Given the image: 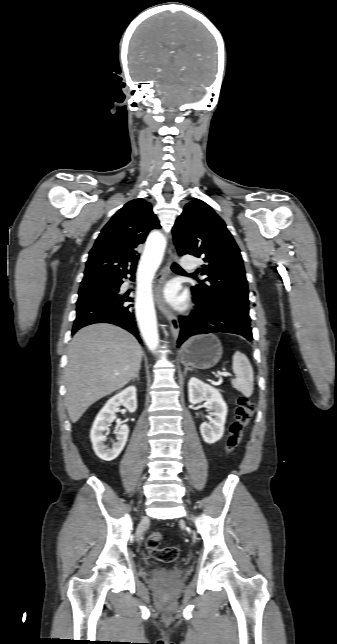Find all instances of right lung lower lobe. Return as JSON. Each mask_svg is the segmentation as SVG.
<instances>
[{
    "label": "right lung lower lobe",
    "mask_w": 337,
    "mask_h": 644,
    "mask_svg": "<svg viewBox=\"0 0 337 644\" xmlns=\"http://www.w3.org/2000/svg\"><path fill=\"white\" fill-rule=\"evenodd\" d=\"M135 269L128 270L116 279L117 282L113 293L77 304V316L74 321L72 335L80 328L90 324L110 323L126 329L142 343L135 321L133 305L126 304L127 302H132L133 299L119 293L120 285L123 283L122 279L127 278V274H131V279L133 280Z\"/></svg>",
    "instance_id": "obj_1"
}]
</instances>
